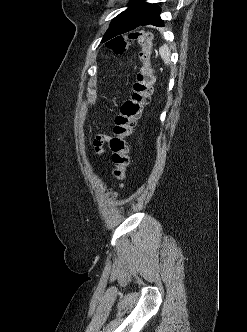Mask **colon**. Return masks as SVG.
<instances>
[{"instance_id": "obj_1", "label": "colon", "mask_w": 247, "mask_h": 332, "mask_svg": "<svg viewBox=\"0 0 247 332\" xmlns=\"http://www.w3.org/2000/svg\"><path fill=\"white\" fill-rule=\"evenodd\" d=\"M129 41H137L140 45L141 67L133 85L131 97L123 102L120 113L115 117L114 136L110 140L114 164L112 176L117 181L119 188L123 187L130 162L127 139L132 134L144 107L150 101L155 81L154 69L151 64L152 34L141 29H133L125 36L112 39L108 43V48L115 54H122L127 49ZM108 193L111 197L117 195L114 189H109Z\"/></svg>"}]
</instances>
